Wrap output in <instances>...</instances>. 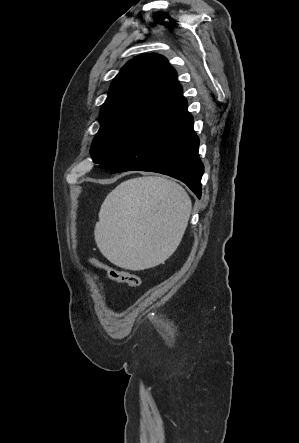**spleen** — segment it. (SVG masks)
I'll return each instance as SVG.
<instances>
[{
    "label": "spleen",
    "instance_id": "1",
    "mask_svg": "<svg viewBox=\"0 0 299 443\" xmlns=\"http://www.w3.org/2000/svg\"><path fill=\"white\" fill-rule=\"evenodd\" d=\"M191 210L190 197L176 182L151 176L127 180L101 206L96 244L118 267H154L180 244Z\"/></svg>",
    "mask_w": 299,
    "mask_h": 443
}]
</instances>
